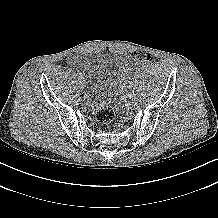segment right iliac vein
I'll return each instance as SVG.
<instances>
[{
	"mask_svg": "<svg viewBox=\"0 0 218 218\" xmlns=\"http://www.w3.org/2000/svg\"><path fill=\"white\" fill-rule=\"evenodd\" d=\"M81 84H82V82H80L79 89H80V90H83V89H84V86H83V85H81Z\"/></svg>",
	"mask_w": 218,
	"mask_h": 218,
	"instance_id": "obj_1",
	"label": "right iliac vein"
}]
</instances>
